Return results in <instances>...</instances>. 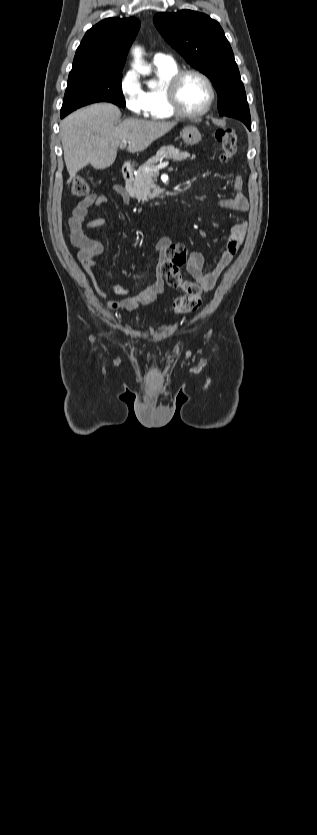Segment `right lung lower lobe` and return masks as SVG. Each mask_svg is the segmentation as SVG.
Masks as SVG:
<instances>
[{
    "label": "right lung lower lobe",
    "mask_w": 317,
    "mask_h": 835,
    "mask_svg": "<svg viewBox=\"0 0 317 835\" xmlns=\"http://www.w3.org/2000/svg\"><path fill=\"white\" fill-rule=\"evenodd\" d=\"M65 116H66L65 114H60V117H61V118L65 117Z\"/></svg>",
    "instance_id": "98d812e1"
}]
</instances>
